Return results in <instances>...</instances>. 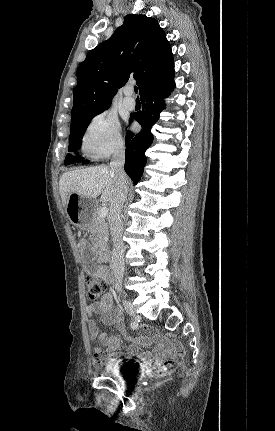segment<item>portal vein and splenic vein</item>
Segmentation results:
<instances>
[{
    "instance_id": "obj_1",
    "label": "portal vein and splenic vein",
    "mask_w": 275,
    "mask_h": 431,
    "mask_svg": "<svg viewBox=\"0 0 275 431\" xmlns=\"http://www.w3.org/2000/svg\"><path fill=\"white\" fill-rule=\"evenodd\" d=\"M99 214L101 217H106L108 214V208L107 207H101L99 210Z\"/></svg>"
}]
</instances>
